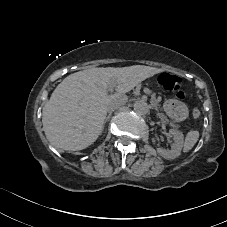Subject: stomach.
Returning a JSON list of instances; mask_svg holds the SVG:
<instances>
[{"label":"stomach","instance_id":"stomach-1","mask_svg":"<svg viewBox=\"0 0 227 227\" xmlns=\"http://www.w3.org/2000/svg\"><path fill=\"white\" fill-rule=\"evenodd\" d=\"M163 109L165 113L176 122L185 120L189 115L187 106L183 102L175 99L166 100L163 104Z\"/></svg>","mask_w":227,"mask_h":227}]
</instances>
